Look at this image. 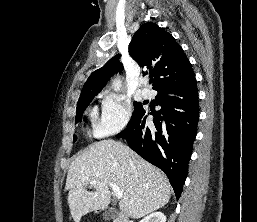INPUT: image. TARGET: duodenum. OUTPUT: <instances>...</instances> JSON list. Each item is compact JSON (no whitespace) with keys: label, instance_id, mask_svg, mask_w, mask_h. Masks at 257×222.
Returning a JSON list of instances; mask_svg holds the SVG:
<instances>
[{"label":"duodenum","instance_id":"duodenum-1","mask_svg":"<svg viewBox=\"0 0 257 222\" xmlns=\"http://www.w3.org/2000/svg\"><path fill=\"white\" fill-rule=\"evenodd\" d=\"M114 222H130L128 216L122 211H117Z\"/></svg>","mask_w":257,"mask_h":222}]
</instances>
